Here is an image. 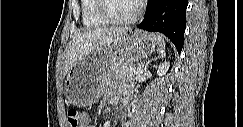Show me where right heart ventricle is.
<instances>
[{
	"label": "right heart ventricle",
	"instance_id": "e07e8e85",
	"mask_svg": "<svg viewBox=\"0 0 243 127\" xmlns=\"http://www.w3.org/2000/svg\"><path fill=\"white\" fill-rule=\"evenodd\" d=\"M80 7L81 19L85 27L98 28L108 24L98 13L97 0H82Z\"/></svg>",
	"mask_w": 243,
	"mask_h": 127
}]
</instances>
